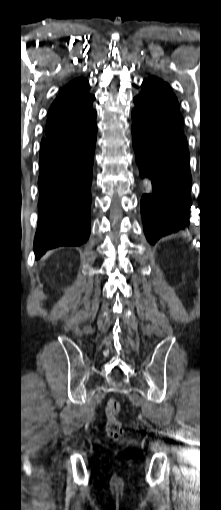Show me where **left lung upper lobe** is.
Instances as JSON below:
<instances>
[{
	"mask_svg": "<svg viewBox=\"0 0 221 510\" xmlns=\"http://www.w3.org/2000/svg\"><path fill=\"white\" fill-rule=\"evenodd\" d=\"M136 109L164 132L186 142L179 104L170 86L154 76L145 79L140 94L134 98Z\"/></svg>",
	"mask_w": 221,
	"mask_h": 510,
	"instance_id": "1",
	"label": "left lung upper lobe"
}]
</instances>
